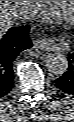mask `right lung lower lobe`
<instances>
[{"instance_id":"obj_1","label":"right lung lower lobe","mask_w":74,"mask_h":122,"mask_svg":"<svg viewBox=\"0 0 74 122\" xmlns=\"http://www.w3.org/2000/svg\"><path fill=\"white\" fill-rule=\"evenodd\" d=\"M28 25L10 28L0 36V98L7 95L12 89V65L16 57L24 50L32 47L29 39Z\"/></svg>"}]
</instances>
